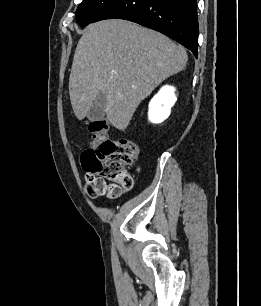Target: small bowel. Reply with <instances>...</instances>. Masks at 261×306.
<instances>
[{"label": "small bowel", "instance_id": "c3829d8e", "mask_svg": "<svg viewBox=\"0 0 261 306\" xmlns=\"http://www.w3.org/2000/svg\"><path fill=\"white\" fill-rule=\"evenodd\" d=\"M123 190L122 189H119L118 191L116 192H113L112 190H109L107 193L110 195V196H119L120 194H122Z\"/></svg>", "mask_w": 261, "mask_h": 306}]
</instances>
